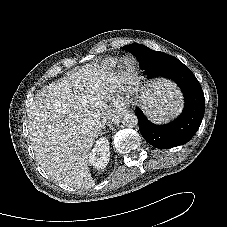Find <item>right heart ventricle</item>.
I'll return each mask as SVG.
<instances>
[{"label": "right heart ventricle", "mask_w": 227, "mask_h": 227, "mask_svg": "<svg viewBox=\"0 0 227 227\" xmlns=\"http://www.w3.org/2000/svg\"><path fill=\"white\" fill-rule=\"evenodd\" d=\"M117 62H118V60L116 58H110L105 61V65L108 67H114V66H116Z\"/></svg>", "instance_id": "right-heart-ventricle-1"}]
</instances>
